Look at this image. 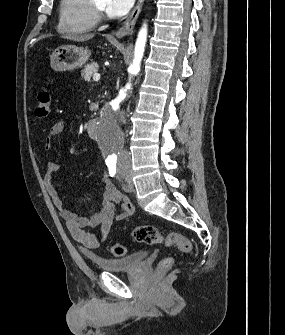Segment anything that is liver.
Masks as SVG:
<instances>
[{
	"label": "liver",
	"mask_w": 285,
	"mask_h": 335,
	"mask_svg": "<svg viewBox=\"0 0 285 335\" xmlns=\"http://www.w3.org/2000/svg\"><path fill=\"white\" fill-rule=\"evenodd\" d=\"M62 38H66V40H73V42H87V40H91L94 38V34H85V36H62Z\"/></svg>",
	"instance_id": "liver-1"
}]
</instances>
